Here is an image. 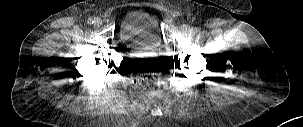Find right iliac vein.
Segmentation results:
<instances>
[{"instance_id": "right-iliac-vein-1", "label": "right iliac vein", "mask_w": 303, "mask_h": 127, "mask_svg": "<svg viewBox=\"0 0 303 127\" xmlns=\"http://www.w3.org/2000/svg\"><path fill=\"white\" fill-rule=\"evenodd\" d=\"M94 23H95L96 26H101L103 21H102L101 18L97 17V18H95Z\"/></svg>"}]
</instances>
